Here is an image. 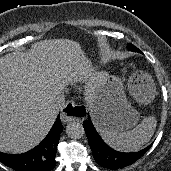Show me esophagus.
Segmentation results:
<instances>
[{
  "mask_svg": "<svg viewBox=\"0 0 171 171\" xmlns=\"http://www.w3.org/2000/svg\"><path fill=\"white\" fill-rule=\"evenodd\" d=\"M75 103L70 101L66 104V110L67 112L63 113L62 114V121L64 122H69V121H72L74 119H76L77 117L75 116V113H76V108H75Z\"/></svg>",
  "mask_w": 171,
  "mask_h": 171,
  "instance_id": "1",
  "label": "esophagus"
}]
</instances>
